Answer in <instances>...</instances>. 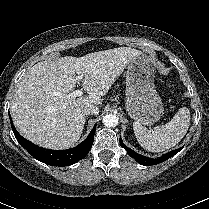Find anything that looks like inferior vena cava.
<instances>
[{"instance_id": "inferior-vena-cava-1", "label": "inferior vena cava", "mask_w": 209, "mask_h": 209, "mask_svg": "<svg viewBox=\"0 0 209 209\" xmlns=\"http://www.w3.org/2000/svg\"><path fill=\"white\" fill-rule=\"evenodd\" d=\"M83 113L85 115H97L99 113V108L93 104H88L84 106Z\"/></svg>"}]
</instances>
